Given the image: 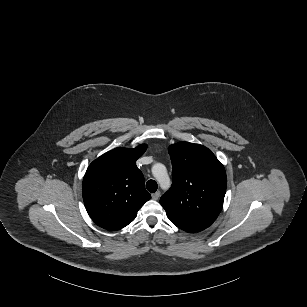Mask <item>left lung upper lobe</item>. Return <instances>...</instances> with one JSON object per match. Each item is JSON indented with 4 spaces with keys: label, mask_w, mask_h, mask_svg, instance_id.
Returning a JSON list of instances; mask_svg holds the SVG:
<instances>
[{
    "label": "left lung upper lobe",
    "mask_w": 307,
    "mask_h": 307,
    "mask_svg": "<svg viewBox=\"0 0 307 307\" xmlns=\"http://www.w3.org/2000/svg\"><path fill=\"white\" fill-rule=\"evenodd\" d=\"M173 183L160 203L169 220L187 232L209 227L219 215L226 192V172L205 146L189 142L168 149Z\"/></svg>",
    "instance_id": "1"
}]
</instances>
